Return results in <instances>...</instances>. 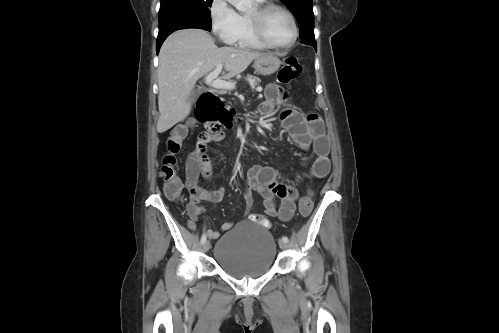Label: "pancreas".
Instances as JSON below:
<instances>
[{"label": "pancreas", "instance_id": "cf45deb5", "mask_svg": "<svg viewBox=\"0 0 499 333\" xmlns=\"http://www.w3.org/2000/svg\"><path fill=\"white\" fill-rule=\"evenodd\" d=\"M248 79L252 82L253 86H258L261 80L254 75H247Z\"/></svg>", "mask_w": 499, "mask_h": 333}]
</instances>
